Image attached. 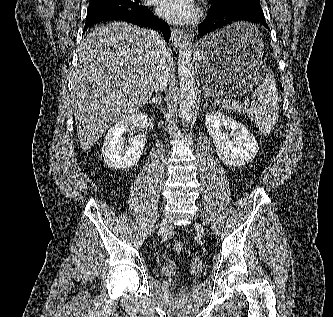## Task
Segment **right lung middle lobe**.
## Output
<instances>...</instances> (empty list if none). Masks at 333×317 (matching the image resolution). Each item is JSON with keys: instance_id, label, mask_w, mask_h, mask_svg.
Here are the masks:
<instances>
[{"instance_id": "1", "label": "right lung middle lobe", "mask_w": 333, "mask_h": 317, "mask_svg": "<svg viewBox=\"0 0 333 317\" xmlns=\"http://www.w3.org/2000/svg\"><path fill=\"white\" fill-rule=\"evenodd\" d=\"M141 6L138 0H90L87 14L99 11L137 10Z\"/></svg>"}]
</instances>
